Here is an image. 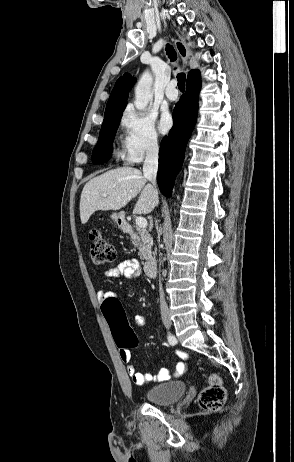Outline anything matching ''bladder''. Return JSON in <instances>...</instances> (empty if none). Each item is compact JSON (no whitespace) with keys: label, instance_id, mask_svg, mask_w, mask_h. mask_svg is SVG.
Returning <instances> with one entry per match:
<instances>
[{"label":"bladder","instance_id":"obj_1","mask_svg":"<svg viewBox=\"0 0 294 462\" xmlns=\"http://www.w3.org/2000/svg\"><path fill=\"white\" fill-rule=\"evenodd\" d=\"M187 391L183 381H173L157 384L146 392V400L151 404L168 405L178 401Z\"/></svg>","mask_w":294,"mask_h":462}]
</instances>
